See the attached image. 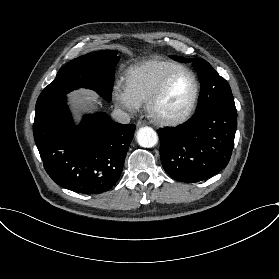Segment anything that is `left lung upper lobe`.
<instances>
[{"label": "left lung upper lobe", "instance_id": "left-lung-upper-lobe-1", "mask_svg": "<svg viewBox=\"0 0 279 279\" xmlns=\"http://www.w3.org/2000/svg\"><path fill=\"white\" fill-rule=\"evenodd\" d=\"M172 58L189 63L193 62L200 79V96L196 113L216 108L236 114V107L228 82L212 68L204 59H186L172 56Z\"/></svg>", "mask_w": 279, "mask_h": 279}]
</instances>
